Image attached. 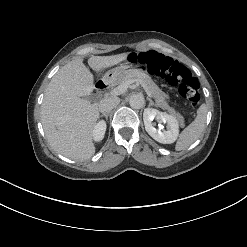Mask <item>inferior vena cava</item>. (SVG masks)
I'll list each match as a JSON object with an SVG mask.
<instances>
[{
    "label": "inferior vena cava",
    "mask_w": 247,
    "mask_h": 247,
    "mask_svg": "<svg viewBox=\"0 0 247 247\" xmlns=\"http://www.w3.org/2000/svg\"><path fill=\"white\" fill-rule=\"evenodd\" d=\"M119 103L120 99L118 97H106L99 101L98 108L100 112L108 113Z\"/></svg>",
    "instance_id": "602c4592"
}]
</instances>
